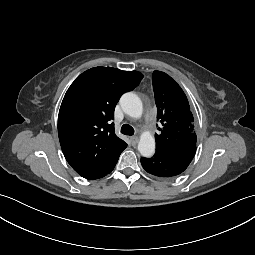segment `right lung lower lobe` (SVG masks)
I'll use <instances>...</instances> for the list:
<instances>
[{"instance_id": "98d812e1", "label": "right lung lower lobe", "mask_w": 255, "mask_h": 255, "mask_svg": "<svg viewBox=\"0 0 255 255\" xmlns=\"http://www.w3.org/2000/svg\"><path fill=\"white\" fill-rule=\"evenodd\" d=\"M115 165H113L108 171H106L104 174H102L99 178H102V177L106 176L108 173H110L114 169Z\"/></svg>"}]
</instances>
